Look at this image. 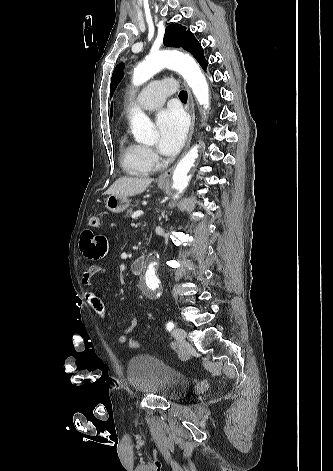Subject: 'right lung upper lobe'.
I'll return each mask as SVG.
<instances>
[{
	"mask_svg": "<svg viewBox=\"0 0 333 471\" xmlns=\"http://www.w3.org/2000/svg\"><path fill=\"white\" fill-rule=\"evenodd\" d=\"M111 116H112V108H111Z\"/></svg>",
	"mask_w": 333,
	"mask_h": 471,
	"instance_id": "obj_1",
	"label": "right lung upper lobe"
}]
</instances>
